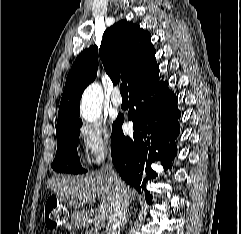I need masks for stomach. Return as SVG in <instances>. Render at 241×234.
<instances>
[{
  "label": "stomach",
  "mask_w": 241,
  "mask_h": 234,
  "mask_svg": "<svg viewBox=\"0 0 241 234\" xmlns=\"http://www.w3.org/2000/svg\"><path fill=\"white\" fill-rule=\"evenodd\" d=\"M74 220H75L76 222H79V221H80L79 218H78V216H75V217H74Z\"/></svg>",
  "instance_id": "1"
}]
</instances>
